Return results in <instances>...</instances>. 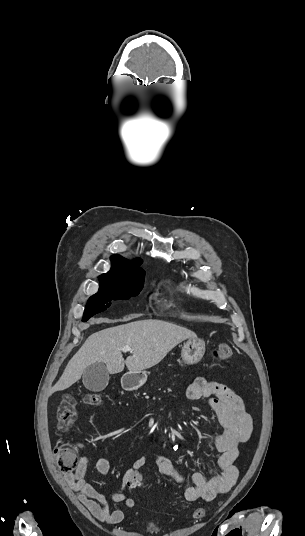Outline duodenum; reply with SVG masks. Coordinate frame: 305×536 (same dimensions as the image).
Returning <instances> with one entry per match:
<instances>
[{
    "label": "duodenum",
    "instance_id": "1",
    "mask_svg": "<svg viewBox=\"0 0 305 536\" xmlns=\"http://www.w3.org/2000/svg\"><path fill=\"white\" fill-rule=\"evenodd\" d=\"M139 382L137 376H125L123 379V386L126 390H133L138 387Z\"/></svg>",
    "mask_w": 305,
    "mask_h": 536
}]
</instances>
